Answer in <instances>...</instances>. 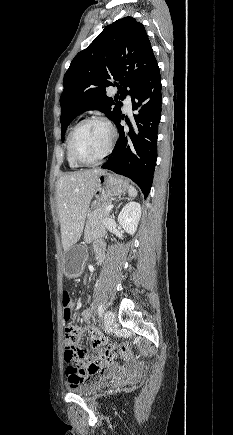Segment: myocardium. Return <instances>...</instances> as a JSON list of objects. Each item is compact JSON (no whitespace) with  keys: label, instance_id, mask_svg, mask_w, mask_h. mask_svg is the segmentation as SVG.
<instances>
[{"label":"myocardium","instance_id":"myocardium-1","mask_svg":"<svg viewBox=\"0 0 233 435\" xmlns=\"http://www.w3.org/2000/svg\"><path fill=\"white\" fill-rule=\"evenodd\" d=\"M87 123H99L104 125L108 132H109V140H108V144L106 146L105 151L96 159L93 161H84L82 160L75 149V135L77 133V131L79 130V128ZM116 139V132L113 128V126L104 118L102 117H98V116H92V117H88V118H84L82 120H80L72 129L70 136H69V152L70 155L73 159V161L78 165V166H82V167H90V166H95L98 165L100 162H102L111 152L113 144L115 142Z\"/></svg>","mask_w":233,"mask_h":435}]
</instances>
